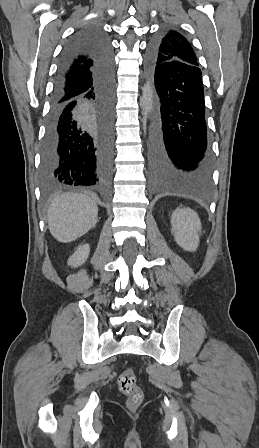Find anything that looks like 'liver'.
Segmentation results:
<instances>
[{
	"mask_svg": "<svg viewBox=\"0 0 259 448\" xmlns=\"http://www.w3.org/2000/svg\"><path fill=\"white\" fill-rule=\"evenodd\" d=\"M97 218V204L84 194H61L48 208L49 230L58 242L81 238L97 224Z\"/></svg>",
	"mask_w": 259,
	"mask_h": 448,
	"instance_id": "obj_1",
	"label": "liver"
}]
</instances>
